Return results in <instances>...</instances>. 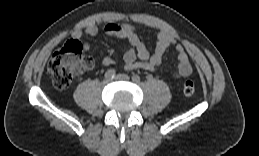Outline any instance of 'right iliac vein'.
Returning <instances> with one entry per match:
<instances>
[{"mask_svg": "<svg viewBox=\"0 0 259 156\" xmlns=\"http://www.w3.org/2000/svg\"><path fill=\"white\" fill-rule=\"evenodd\" d=\"M110 82H111V79H104V81H103L104 84H108Z\"/></svg>", "mask_w": 259, "mask_h": 156, "instance_id": "obj_1", "label": "right iliac vein"}]
</instances>
